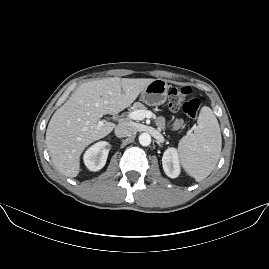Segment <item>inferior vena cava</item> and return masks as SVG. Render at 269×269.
Masks as SVG:
<instances>
[{
  "label": "inferior vena cava",
  "instance_id": "inferior-vena-cava-1",
  "mask_svg": "<svg viewBox=\"0 0 269 269\" xmlns=\"http://www.w3.org/2000/svg\"><path fill=\"white\" fill-rule=\"evenodd\" d=\"M136 132V126L133 122H121L115 128V135L119 138L130 136Z\"/></svg>",
  "mask_w": 269,
  "mask_h": 269
}]
</instances>
